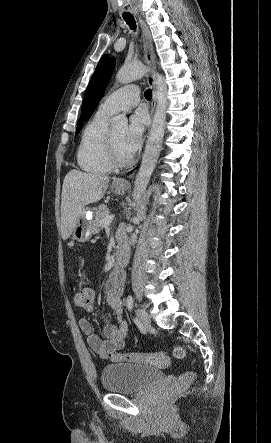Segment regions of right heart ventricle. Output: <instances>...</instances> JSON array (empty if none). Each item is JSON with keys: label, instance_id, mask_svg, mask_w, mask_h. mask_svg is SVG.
I'll list each match as a JSON object with an SVG mask.
<instances>
[{"label": "right heart ventricle", "instance_id": "obj_1", "mask_svg": "<svg viewBox=\"0 0 271 443\" xmlns=\"http://www.w3.org/2000/svg\"><path fill=\"white\" fill-rule=\"evenodd\" d=\"M108 135V115L97 111L86 123L77 149L76 159L82 170L91 174L112 171Z\"/></svg>", "mask_w": 271, "mask_h": 443}]
</instances>
